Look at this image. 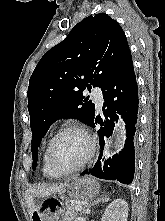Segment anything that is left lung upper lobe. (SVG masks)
<instances>
[{
	"label": "left lung upper lobe",
	"instance_id": "obj_1",
	"mask_svg": "<svg viewBox=\"0 0 165 221\" xmlns=\"http://www.w3.org/2000/svg\"><path fill=\"white\" fill-rule=\"evenodd\" d=\"M130 54L122 28L105 13L84 18L45 53L29 80L27 93L33 170L38 147L49 127L60 118L90 124L95 105L82 92L103 88Z\"/></svg>",
	"mask_w": 165,
	"mask_h": 221
}]
</instances>
